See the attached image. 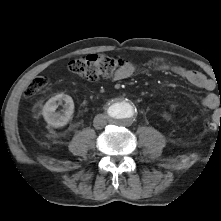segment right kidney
<instances>
[{"label": "right kidney", "instance_id": "right-kidney-1", "mask_svg": "<svg viewBox=\"0 0 221 221\" xmlns=\"http://www.w3.org/2000/svg\"><path fill=\"white\" fill-rule=\"evenodd\" d=\"M64 104L63 113L56 112L59 105ZM74 113V102L71 96L61 93L50 98L43 107L42 114L45 121L54 128L65 126Z\"/></svg>", "mask_w": 221, "mask_h": 221}]
</instances>
